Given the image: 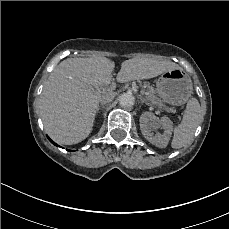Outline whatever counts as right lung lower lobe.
<instances>
[{
    "label": "right lung lower lobe",
    "mask_w": 229,
    "mask_h": 229,
    "mask_svg": "<svg viewBox=\"0 0 229 229\" xmlns=\"http://www.w3.org/2000/svg\"><path fill=\"white\" fill-rule=\"evenodd\" d=\"M48 137V136H47ZM48 139L50 140L51 143H53L54 145L58 146L55 142H53L49 137Z\"/></svg>",
    "instance_id": "98d812e1"
}]
</instances>
